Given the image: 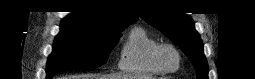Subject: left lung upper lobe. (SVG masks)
<instances>
[{
	"label": "left lung upper lobe",
	"instance_id": "left-lung-upper-lobe-1",
	"mask_svg": "<svg viewBox=\"0 0 255 79\" xmlns=\"http://www.w3.org/2000/svg\"><path fill=\"white\" fill-rule=\"evenodd\" d=\"M140 15L180 47L193 63L198 79H208V64L203 44L191 17L158 8L141 12Z\"/></svg>",
	"mask_w": 255,
	"mask_h": 79
}]
</instances>
